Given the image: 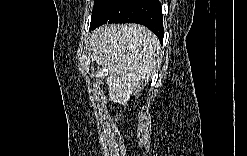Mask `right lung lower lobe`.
Returning <instances> with one entry per match:
<instances>
[{"label": "right lung lower lobe", "mask_w": 247, "mask_h": 156, "mask_svg": "<svg viewBox=\"0 0 247 156\" xmlns=\"http://www.w3.org/2000/svg\"><path fill=\"white\" fill-rule=\"evenodd\" d=\"M138 23L146 26L162 42L163 16L158 0H111L90 24V30L105 23Z\"/></svg>", "instance_id": "right-lung-lower-lobe-1"}]
</instances>
